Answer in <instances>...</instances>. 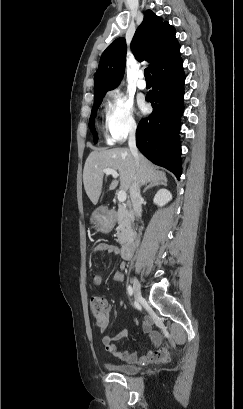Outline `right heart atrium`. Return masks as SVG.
Masks as SVG:
<instances>
[{
	"label": "right heart atrium",
	"mask_w": 243,
	"mask_h": 409,
	"mask_svg": "<svg viewBox=\"0 0 243 409\" xmlns=\"http://www.w3.org/2000/svg\"><path fill=\"white\" fill-rule=\"evenodd\" d=\"M105 129L112 141H121L137 129L132 102L118 91L108 95Z\"/></svg>",
	"instance_id": "right-heart-atrium-1"
}]
</instances>
